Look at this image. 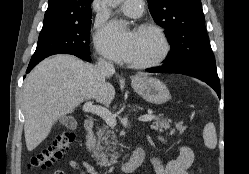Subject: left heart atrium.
<instances>
[{
  "label": "left heart atrium",
  "mask_w": 249,
  "mask_h": 174,
  "mask_svg": "<svg viewBox=\"0 0 249 174\" xmlns=\"http://www.w3.org/2000/svg\"><path fill=\"white\" fill-rule=\"evenodd\" d=\"M97 44L111 58L126 61L129 60L131 55L133 33L123 35L120 24L112 22L98 34Z\"/></svg>",
  "instance_id": "39dd6f15"
}]
</instances>
